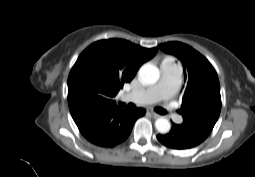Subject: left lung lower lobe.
I'll return each mask as SVG.
<instances>
[{
    "instance_id": "left-lung-lower-lobe-1",
    "label": "left lung lower lobe",
    "mask_w": 255,
    "mask_h": 177,
    "mask_svg": "<svg viewBox=\"0 0 255 177\" xmlns=\"http://www.w3.org/2000/svg\"><path fill=\"white\" fill-rule=\"evenodd\" d=\"M207 136L194 132L184 125L172 123V128L168 134L157 135V139L165 146L176 150H184L195 147L202 143Z\"/></svg>"
}]
</instances>
